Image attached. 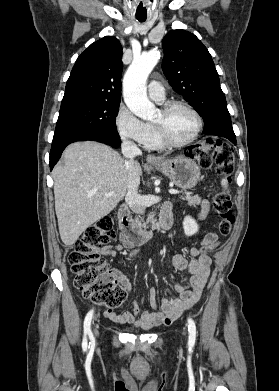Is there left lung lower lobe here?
Here are the masks:
<instances>
[{
	"label": "left lung lower lobe",
	"instance_id": "0a47b994",
	"mask_svg": "<svg viewBox=\"0 0 279 391\" xmlns=\"http://www.w3.org/2000/svg\"><path fill=\"white\" fill-rule=\"evenodd\" d=\"M222 137H225V138L229 139L233 144H236L235 135L226 134V135H224Z\"/></svg>",
	"mask_w": 279,
	"mask_h": 391
}]
</instances>
